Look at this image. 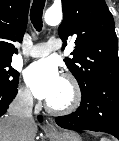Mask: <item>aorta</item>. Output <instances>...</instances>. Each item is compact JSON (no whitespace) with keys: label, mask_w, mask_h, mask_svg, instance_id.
Listing matches in <instances>:
<instances>
[{"label":"aorta","mask_w":119,"mask_h":141,"mask_svg":"<svg viewBox=\"0 0 119 141\" xmlns=\"http://www.w3.org/2000/svg\"><path fill=\"white\" fill-rule=\"evenodd\" d=\"M44 19L48 25H58L62 20V11L60 9L49 8L45 13Z\"/></svg>","instance_id":"1"}]
</instances>
